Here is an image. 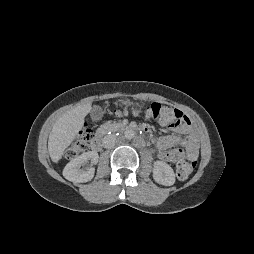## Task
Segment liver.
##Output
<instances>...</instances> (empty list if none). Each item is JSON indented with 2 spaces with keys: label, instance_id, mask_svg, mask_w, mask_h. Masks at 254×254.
I'll return each mask as SVG.
<instances>
[{
  "label": "liver",
  "instance_id": "liver-1",
  "mask_svg": "<svg viewBox=\"0 0 254 254\" xmlns=\"http://www.w3.org/2000/svg\"><path fill=\"white\" fill-rule=\"evenodd\" d=\"M92 104L79 105L64 113L54 124L48 139V151L53 162H58L65 149L74 141Z\"/></svg>",
  "mask_w": 254,
  "mask_h": 254
}]
</instances>
